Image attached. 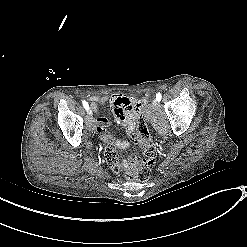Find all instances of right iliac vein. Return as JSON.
<instances>
[{"mask_svg":"<svg viewBox=\"0 0 247 247\" xmlns=\"http://www.w3.org/2000/svg\"><path fill=\"white\" fill-rule=\"evenodd\" d=\"M87 113L89 116H92V110L90 108H88Z\"/></svg>","mask_w":247,"mask_h":247,"instance_id":"1","label":"right iliac vein"}]
</instances>
